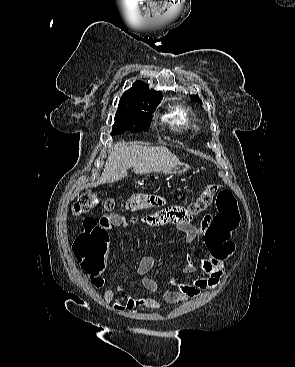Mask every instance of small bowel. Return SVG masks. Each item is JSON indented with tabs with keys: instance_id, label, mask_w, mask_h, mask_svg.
Masks as SVG:
<instances>
[{
	"instance_id": "c3829d8e",
	"label": "small bowel",
	"mask_w": 295,
	"mask_h": 367,
	"mask_svg": "<svg viewBox=\"0 0 295 367\" xmlns=\"http://www.w3.org/2000/svg\"><path fill=\"white\" fill-rule=\"evenodd\" d=\"M160 196L142 195L129 199L124 204L126 211H136L143 208L156 206ZM192 214L187 208H160L159 212L146 215L140 219H132L131 222H138L143 227L169 226L170 223H176V227L185 233L187 242L190 246L199 240H204L207 248V254L203 258H196L192 251L186 254V261L181 269L183 276H191L197 270L207 273L209 276L205 278H194L190 283H175V289L164 290L161 292L162 299L168 304H177L188 302L192 299L199 298L203 290L216 288L220 279L228 269L226 258L217 255L206 244V235L211 224V216L207 215L199 225L191 222ZM127 224L124 216L117 213H108L101 216L99 225L109 231L114 227H121ZM155 259L153 257H144L140 260L137 272L142 277L141 284L147 292L145 295L131 297L120 293V289L107 288L103 293V299L106 304H112L118 312L132 310L137 307H148L159 309L162 308L154 294L158 292L159 286L156 280L147 276L153 269ZM92 284L97 289L105 286L106 280L100 274L91 277Z\"/></svg>"
}]
</instances>
